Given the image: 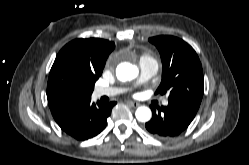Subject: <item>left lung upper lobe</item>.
Segmentation results:
<instances>
[{"label":"left lung upper lobe","instance_id":"5c2ea615","mask_svg":"<svg viewBox=\"0 0 249 165\" xmlns=\"http://www.w3.org/2000/svg\"><path fill=\"white\" fill-rule=\"evenodd\" d=\"M149 41L159 50L163 64L162 81L157 92H168V101L199 109L204 79L195 50L174 36H156L149 38Z\"/></svg>","mask_w":249,"mask_h":165}]
</instances>
